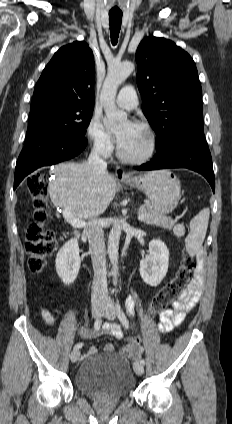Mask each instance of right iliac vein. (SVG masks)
<instances>
[{"label": "right iliac vein", "instance_id": "right-iliac-vein-1", "mask_svg": "<svg viewBox=\"0 0 232 424\" xmlns=\"http://www.w3.org/2000/svg\"><path fill=\"white\" fill-rule=\"evenodd\" d=\"M104 305L102 303H96L92 306V315L97 318L103 311ZM80 356L79 349H74L70 355L71 362L75 363Z\"/></svg>", "mask_w": 232, "mask_h": 424}]
</instances>
